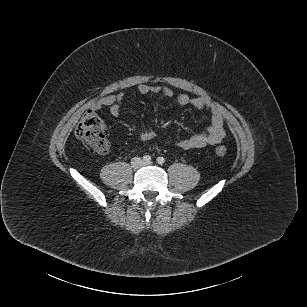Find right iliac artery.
I'll return each mask as SVG.
<instances>
[{"mask_svg": "<svg viewBox=\"0 0 307 307\" xmlns=\"http://www.w3.org/2000/svg\"><path fill=\"white\" fill-rule=\"evenodd\" d=\"M143 161L146 162V163H150L151 162V156L150 155L143 156Z\"/></svg>", "mask_w": 307, "mask_h": 307, "instance_id": "right-iliac-artery-1", "label": "right iliac artery"}]
</instances>
